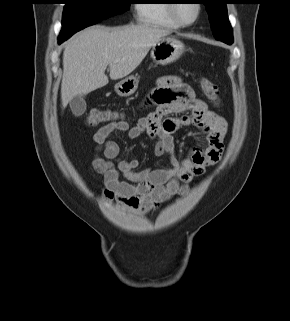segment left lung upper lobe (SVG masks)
I'll return each mask as SVG.
<instances>
[{"label":"left lung upper lobe","mask_w":290,"mask_h":321,"mask_svg":"<svg viewBox=\"0 0 290 321\" xmlns=\"http://www.w3.org/2000/svg\"><path fill=\"white\" fill-rule=\"evenodd\" d=\"M227 0H203L214 37L217 40H233V32L227 16Z\"/></svg>","instance_id":"1"}]
</instances>
